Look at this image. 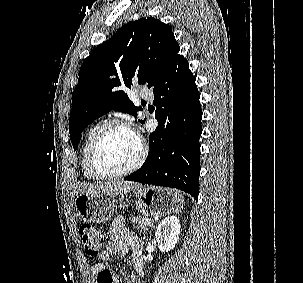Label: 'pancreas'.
<instances>
[{
	"instance_id": "cf45deb5",
	"label": "pancreas",
	"mask_w": 303,
	"mask_h": 283,
	"mask_svg": "<svg viewBox=\"0 0 303 283\" xmlns=\"http://www.w3.org/2000/svg\"><path fill=\"white\" fill-rule=\"evenodd\" d=\"M131 222L135 225L136 229H140L142 231H147L149 223H153V220L148 217L136 216L131 219Z\"/></svg>"
}]
</instances>
